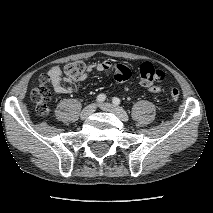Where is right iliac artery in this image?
<instances>
[{
    "instance_id": "right-iliac-artery-1",
    "label": "right iliac artery",
    "mask_w": 213,
    "mask_h": 213,
    "mask_svg": "<svg viewBox=\"0 0 213 213\" xmlns=\"http://www.w3.org/2000/svg\"><path fill=\"white\" fill-rule=\"evenodd\" d=\"M105 99H106V96L104 94H99L96 98V101L98 103H101V102L105 101Z\"/></svg>"
}]
</instances>
